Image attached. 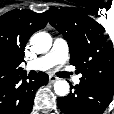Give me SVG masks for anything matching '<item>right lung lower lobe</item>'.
Segmentation results:
<instances>
[{"instance_id":"1","label":"right lung lower lobe","mask_w":114,"mask_h":114,"mask_svg":"<svg viewBox=\"0 0 114 114\" xmlns=\"http://www.w3.org/2000/svg\"><path fill=\"white\" fill-rule=\"evenodd\" d=\"M29 79V80H27ZM48 83V75L38 73L29 78L26 73L0 80V114H29L37 89Z\"/></svg>"}]
</instances>
